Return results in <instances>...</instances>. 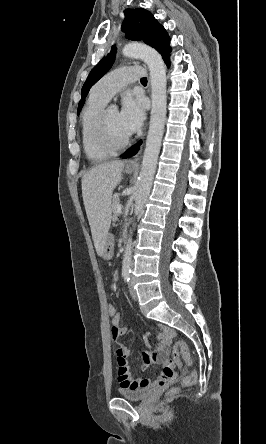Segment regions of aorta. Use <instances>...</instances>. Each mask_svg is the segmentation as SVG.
I'll return each instance as SVG.
<instances>
[{
  "label": "aorta",
  "instance_id": "762f6f07",
  "mask_svg": "<svg viewBox=\"0 0 266 444\" xmlns=\"http://www.w3.org/2000/svg\"><path fill=\"white\" fill-rule=\"evenodd\" d=\"M122 53L127 57L143 60L150 71L152 108L146 147L139 175V186L135 195V216L143 212L144 205L150 194L157 166L161 140L164 133L166 118V68L161 55L152 47L140 44H127ZM114 107V106H113ZM132 232L128 237L123 255L122 272L129 275L132 264Z\"/></svg>",
  "mask_w": 266,
  "mask_h": 444
}]
</instances>
